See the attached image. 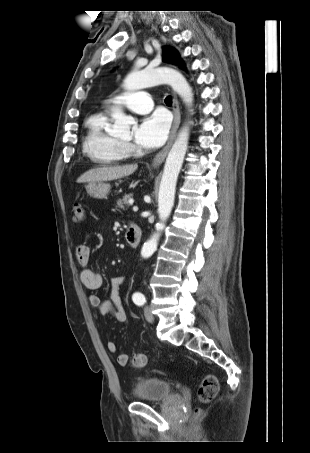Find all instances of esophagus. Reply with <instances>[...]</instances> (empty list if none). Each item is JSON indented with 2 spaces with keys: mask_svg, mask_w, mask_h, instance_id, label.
<instances>
[{
  "mask_svg": "<svg viewBox=\"0 0 310 453\" xmlns=\"http://www.w3.org/2000/svg\"><path fill=\"white\" fill-rule=\"evenodd\" d=\"M172 109H173V114H174V121H173L172 129L170 132L169 140H168L166 146L159 153H157L156 156L154 157V159L152 161L153 167H158L163 163L164 159L166 158V156L168 154V151L170 150V147L173 144V141L176 137L178 127L180 125L181 114H180L179 102H178V99H177V96L175 93H173Z\"/></svg>",
  "mask_w": 310,
  "mask_h": 453,
  "instance_id": "34e87169",
  "label": "esophagus"
}]
</instances>
